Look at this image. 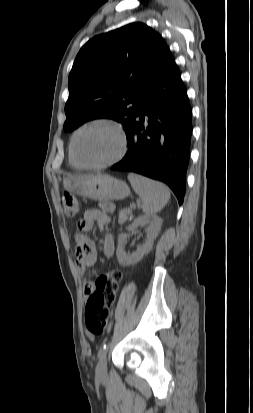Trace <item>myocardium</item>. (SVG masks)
<instances>
[{
  "instance_id": "f54148a6",
  "label": "myocardium",
  "mask_w": 253,
  "mask_h": 413,
  "mask_svg": "<svg viewBox=\"0 0 253 413\" xmlns=\"http://www.w3.org/2000/svg\"><path fill=\"white\" fill-rule=\"evenodd\" d=\"M96 125L108 126L116 133L117 138H118V144H119L118 151L112 158L106 161H103L101 163H96V164L83 163L82 161L78 159L76 152H75L76 139L83 130L89 127H92V126H96ZM126 152H127V137H126V134H125V131L122 125L118 121L111 119V118H106V117L94 118V119H91L83 123L81 126H79L75 130V132L73 133L71 137V141H70L71 158L78 167H81L84 169H103V168L112 166L118 163L120 160H122Z\"/></svg>"
}]
</instances>
